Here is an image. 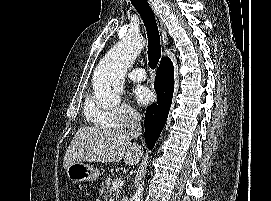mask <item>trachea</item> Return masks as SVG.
I'll list each match as a JSON object with an SVG mask.
<instances>
[{
  "instance_id": "trachea-1",
  "label": "trachea",
  "mask_w": 271,
  "mask_h": 201,
  "mask_svg": "<svg viewBox=\"0 0 271 201\" xmlns=\"http://www.w3.org/2000/svg\"><path fill=\"white\" fill-rule=\"evenodd\" d=\"M135 9L140 14L148 36L149 67L155 69L161 57L160 35L154 13L147 0H131Z\"/></svg>"
}]
</instances>
